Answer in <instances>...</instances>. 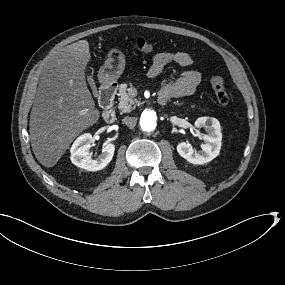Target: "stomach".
Here are the masks:
<instances>
[{
  "instance_id": "stomach-1",
  "label": "stomach",
  "mask_w": 285,
  "mask_h": 285,
  "mask_svg": "<svg viewBox=\"0 0 285 285\" xmlns=\"http://www.w3.org/2000/svg\"><path fill=\"white\" fill-rule=\"evenodd\" d=\"M124 66L125 55L118 49L110 50L105 65L99 72V80L105 84L116 81L123 72Z\"/></svg>"
}]
</instances>
